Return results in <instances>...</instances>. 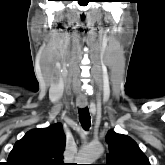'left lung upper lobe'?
I'll list each match as a JSON object with an SVG mask.
<instances>
[{
  "instance_id": "5c2ea615",
  "label": "left lung upper lobe",
  "mask_w": 165,
  "mask_h": 165,
  "mask_svg": "<svg viewBox=\"0 0 165 165\" xmlns=\"http://www.w3.org/2000/svg\"><path fill=\"white\" fill-rule=\"evenodd\" d=\"M106 142L109 153L105 165H150L145 154L129 136L110 130Z\"/></svg>"
}]
</instances>
